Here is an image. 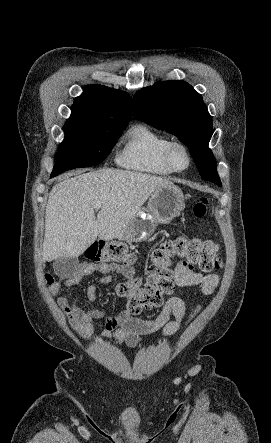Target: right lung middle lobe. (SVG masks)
Returning <instances> with one entry per match:
<instances>
[{"label":"right lung middle lobe","mask_w":271,"mask_h":443,"mask_svg":"<svg viewBox=\"0 0 271 443\" xmlns=\"http://www.w3.org/2000/svg\"><path fill=\"white\" fill-rule=\"evenodd\" d=\"M130 118H70L64 125L57 163L51 176L101 163L115 145Z\"/></svg>","instance_id":"dd1d6c3e"}]
</instances>
